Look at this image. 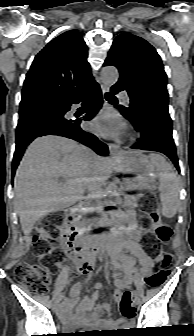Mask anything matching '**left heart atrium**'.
<instances>
[{
	"mask_svg": "<svg viewBox=\"0 0 194 336\" xmlns=\"http://www.w3.org/2000/svg\"><path fill=\"white\" fill-rule=\"evenodd\" d=\"M94 132L105 137H115L123 129L121 118L112 111H104L91 123Z\"/></svg>",
	"mask_w": 194,
	"mask_h": 336,
	"instance_id": "left-heart-atrium-1",
	"label": "left heart atrium"
}]
</instances>
